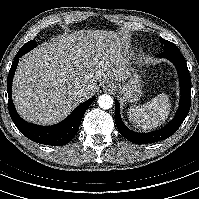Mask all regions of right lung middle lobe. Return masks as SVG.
<instances>
[{
	"mask_svg": "<svg viewBox=\"0 0 199 199\" xmlns=\"http://www.w3.org/2000/svg\"><path fill=\"white\" fill-rule=\"evenodd\" d=\"M37 43L35 41H29L26 44H24L21 49H26L28 51H30L31 49H33L34 47H36Z\"/></svg>",
	"mask_w": 199,
	"mask_h": 199,
	"instance_id": "right-lung-middle-lobe-1",
	"label": "right lung middle lobe"
}]
</instances>
